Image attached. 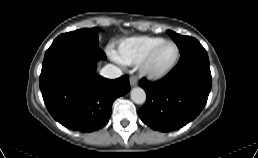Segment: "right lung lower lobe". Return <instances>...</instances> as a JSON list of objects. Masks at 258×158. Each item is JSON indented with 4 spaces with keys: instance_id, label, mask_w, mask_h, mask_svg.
<instances>
[{
    "instance_id": "98d812e1",
    "label": "right lung lower lobe",
    "mask_w": 258,
    "mask_h": 158,
    "mask_svg": "<svg viewBox=\"0 0 258 158\" xmlns=\"http://www.w3.org/2000/svg\"><path fill=\"white\" fill-rule=\"evenodd\" d=\"M98 46L61 44L46 51L40 90L49 113L67 128L91 132L109 121L112 103L130 90L124 75L108 80L97 75L96 62L105 59Z\"/></svg>"
}]
</instances>
